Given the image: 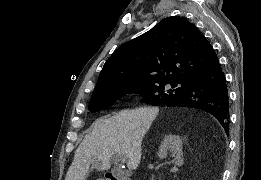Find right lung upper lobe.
Here are the masks:
<instances>
[{"mask_svg":"<svg viewBox=\"0 0 261 180\" xmlns=\"http://www.w3.org/2000/svg\"><path fill=\"white\" fill-rule=\"evenodd\" d=\"M204 35L183 17H168L121 45L106 61L91 99L163 80L186 81L218 63Z\"/></svg>","mask_w":261,"mask_h":180,"instance_id":"right-lung-upper-lobe-1","label":"right lung upper lobe"}]
</instances>
